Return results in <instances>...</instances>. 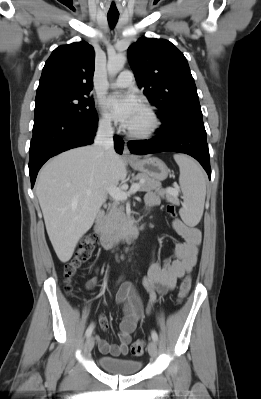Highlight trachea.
Here are the masks:
<instances>
[{
    "mask_svg": "<svg viewBox=\"0 0 261 399\" xmlns=\"http://www.w3.org/2000/svg\"><path fill=\"white\" fill-rule=\"evenodd\" d=\"M118 18H119V14H109L108 13L107 19H108V22H109V25L111 28H113L116 25Z\"/></svg>",
    "mask_w": 261,
    "mask_h": 399,
    "instance_id": "obj_1",
    "label": "trachea"
}]
</instances>
